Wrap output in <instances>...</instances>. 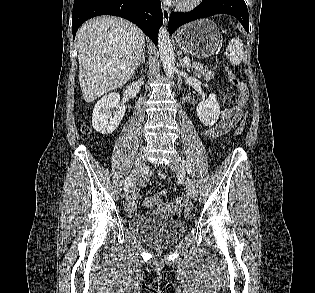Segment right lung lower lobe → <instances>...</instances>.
Wrapping results in <instances>:
<instances>
[{
  "label": "right lung lower lobe",
  "mask_w": 315,
  "mask_h": 293,
  "mask_svg": "<svg viewBox=\"0 0 315 293\" xmlns=\"http://www.w3.org/2000/svg\"><path fill=\"white\" fill-rule=\"evenodd\" d=\"M103 14L133 22L157 45L158 31L163 23L160 0H75L72 13L73 37L83 22Z\"/></svg>",
  "instance_id": "1"
}]
</instances>
